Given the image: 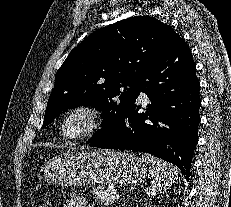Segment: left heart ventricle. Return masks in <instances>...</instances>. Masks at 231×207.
Segmentation results:
<instances>
[{
    "instance_id": "obj_1",
    "label": "left heart ventricle",
    "mask_w": 231,
    "mask_h": 207,
    "mask_svg": "<svg viewBox=\"0 0 231 207\" xmlns=\"http://www.w3.org/2000/svg\"><path fill=\"white\" fill-rule=\"evenodd\" d=\"M86 125H87V121L83 116L81 115L74 116L68 121L66 125V132L71 136L80 134L81 132L84 131Z\"/></svg>"
}]
</instances>
